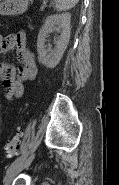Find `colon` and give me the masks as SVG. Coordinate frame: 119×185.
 <instances>
[{
  "instance_id": "1",
  "label": "colon",
  "mask_w": 119,
  "mask_h": 185,
  "mask_svg": "<svg viewBox=\"0 0 119 185\" xmlns=\"http://www.w3.org/2000/svg\"><path fill=\"white\" fill-rule=\"evenodd\" d=\"M8 82V79L6 80ZM20 150V132H17L6 144L5 153L8 159L16 157Z\"/></svg>"
}]
</instances>
